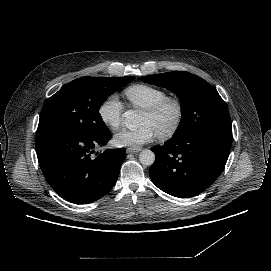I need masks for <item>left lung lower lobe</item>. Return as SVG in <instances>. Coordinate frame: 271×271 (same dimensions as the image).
I'll use <instances>...</instances> for the list:
<instances>
[{"label":"left lung lower lobe","mask_w":271,"mask_h":271,"mask_svg":"<svg viewBox=\"0 0 271 271\" xmlns=\"http://www.w3.org/2000/svg\"><path fill=\"white\" fill-rule=\"evenodd\" d=\"M231 144V126H206L173 135L164 145L151 148L156 159L149 170L150 178L172 196H196L219 177Z\"/></svg>","instance_id":"obj_1"}]
</instances>
